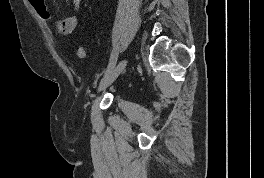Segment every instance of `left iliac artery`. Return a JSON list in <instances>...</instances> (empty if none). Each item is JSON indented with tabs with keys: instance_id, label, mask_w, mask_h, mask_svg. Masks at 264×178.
<instances>
[{
	"instance_id": "left-iliac-artery-1",
	"label": "left iliac artery",
	"mask_w": 264,
	"mask_h": 178,
	"mask_svg": "<svg viewBox=\"0 0 264 178\" xmlns=\"http://www.w3.org/2000/svg\"><path fill=\"white\" fill-rule=\"evenodd\" d=\"M118 53H119V50L117 48H115L112 51V54H111V57H110V61H109V64H108V67H107V70H106L105 74L110 72L115 67L116 62H117V58H118Z\"/></svg>"
}]
</instances>
